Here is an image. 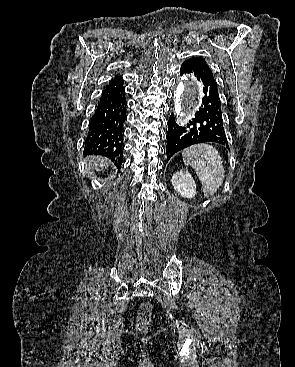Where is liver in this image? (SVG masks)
I'll return each instance as SVG.
<instances>
[{"instance_id": "1", "label": "liver", "mask_w": 295, "mask_h": 367, "mask_svg": "<svg viewBox=\"0 0 295 367\" xmlns=\"http://www.w3.org/2000/svg\"><path fill=\"white\" fill-rule=\"evenodd\" d=\"M87 161L88 163L86 164V168L88 170L94 169L96 171H99L108 167L111 164L108 159L100 156H90L88 157Z\"/></svg>"}]
</instances>
